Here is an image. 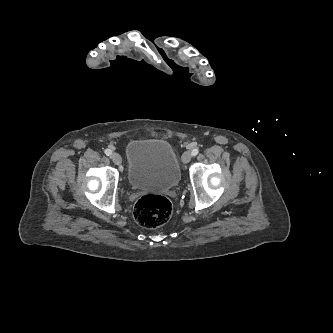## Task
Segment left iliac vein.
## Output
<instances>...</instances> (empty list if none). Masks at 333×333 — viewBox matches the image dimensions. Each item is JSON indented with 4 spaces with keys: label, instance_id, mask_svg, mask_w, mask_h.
Wrapping results in <instances>:
<instances>
[{
    "label": "left iliac vein",
    "instance_id": "1",
    "mask_svg": "<svg viewBox=\"0 0 333 333\" xmlns=\"http://www.w3.org/2000/svg\"><path fill=\"white\" fill-rule=\"evenodd\" d=\"M192 154L190 152H185L182 156V161L184 164H187L191 161Z\"/></svg>",
    "mask_w": 333,
    "mask_h": 333
}]
</instances>
